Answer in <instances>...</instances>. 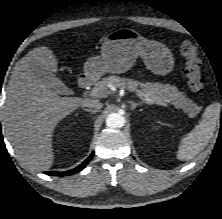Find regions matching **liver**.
<instances>
[{
  "label": "liver",
  "instance_id": "1",
  "mask_svg": "<svg viewBox=\"0 0 222 219\" xmlns=\"http://www.w3.org/2000/svg\"><path fill=\"white\" fill-rule=\"evenodd\" d=\"M37 66L58 72V59L50 48H34L15 64L3 122L17 158L30 168L45 170L54 160L55 127L89 99L59 96L36 76L33 69Z\"/></svg>",
  "mask_w": 222,
  "mask_h": 219
}]
</instances>
